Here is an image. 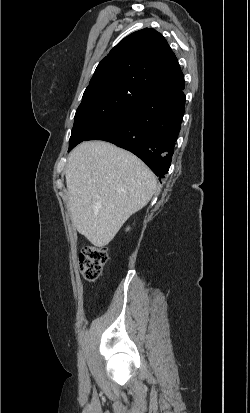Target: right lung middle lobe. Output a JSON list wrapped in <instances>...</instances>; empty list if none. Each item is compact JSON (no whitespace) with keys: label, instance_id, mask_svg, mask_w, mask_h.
Instances as JSON below:
<instances>
[{"label":"right lung middle lobe","instance_id":"1","mask_svg":"<svg viewBox=\"0 0 250 413\" xmlns=\"http://www.w3.org/2000/svg\"><path fill=\"white\" fill-rule=\"evenodd\" d=\"M141 94L136 89L120 85L87 88L76 110L68 151L110 122L129 101Z\"/></svg>","mask_w":250,"mask_h":413}]
</instances>
